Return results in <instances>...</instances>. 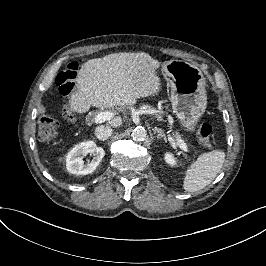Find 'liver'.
<instances>
[{
  "label": "liver",
  "instance_id": "6515ba94",
  "mask_svg": "<svg viewBox=\"0 0 266 266\" xmlns=\"http://www.w3.org/2000/svg\"><path fill=\"white\" fill-rule=\"evenodd\" d=\"M159 66V61L145 52L112 53L90 59L77 73V91L70 95V109L85 113L90 106H133L137 99L160 90V78L155 74ZM121 124L122 118L115 116L106 126Z\"/></svg>",
  "mask_w": 266,
  "mask_h": 266
}]
</instances>
